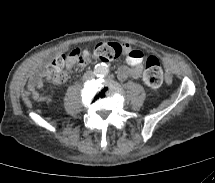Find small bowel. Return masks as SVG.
I'll return each instance as SVG.
<instances>
[{"label":"small bowel","mask_w":215,"mask_h":183,"mask_svg":"<svg viewBox=\"0 0 215 183\" xmlns=\"http://www.w3.org/2000/svg\"><path fill=\"white\" fill-rule=\"evenodd\" d=\"M125 50L127 51L126 60L128 64H125L118 69L117 74L119 79L125 80L128 77H140L142 72L141 62L143 60L142 50L138 47L130 48L129 45H125ZM76 63V59L71 57L66 72L60 76L53 75L49 70H40L36 72L28 82L29 95L36 100H42L43 96L40 95L38 90L43 86V84L49 80L56 84L63 83L67 78V73Z\"/></svg>","instance_id":"c3829d8e"}]
</instances>
